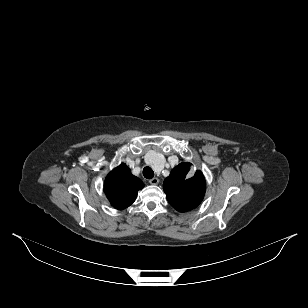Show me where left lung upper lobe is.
Returning a JSON list of instances; mask_svg holds the SVG:
<instances>
[{
  "instance_id": "1",
  "label": "left lung upper lobe",
  "mask_w": 308,
  "mask_h": 308,
  "mask_svg": "<svg viewBox=\"0 0 308 308\" xmlns=\"http://www.w3.org/2000/svg\"><path fill=\"white\" fill-rule=\"evenodd\" d=\"M190 166L188 162L180 163L172 169L163 183L168 202L179 212L196 208L205 194L206 183L202 172L197 171L190 178Z\"/></svg>"
}]
</instances>
